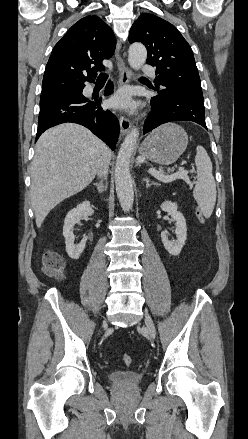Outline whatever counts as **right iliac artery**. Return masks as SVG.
Masks as SVG:
<instances>
[{"label": "right iliac artery", "mask_w": 248, "mask_h": 439, "mask_svg": "<svg viewBox=\"0 0 248 439\" xmlns=\"http://www.w3.org/2000/svg\"><path fill=\"white\" fill-rule=\"evenodd\" d=\"M97 334H100V331H97Z\"/></svg>", "instance_id": "obj_1"}]
</instances>
